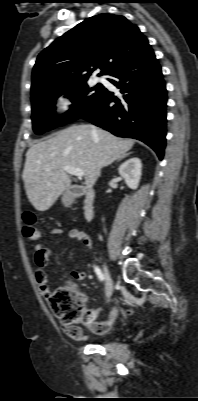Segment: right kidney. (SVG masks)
I'll return each mask as SVG.
<instances>
[{"label":"right kidney","mask_w":198,"mask_h":401,"mask_svg":"<svg viewBox=\"0 0 198 401\" xmlns=\"http://www.w3.org/2000/svg\"><path fill=\"white\" fill-rule=\"evenodd\" d=\"M142 163L137 157H133L122 163L119 168V174L124 178L130 189H137L141 179Z\"/></svg>","instance_id":"right-kidney-1"}]
</instances>
